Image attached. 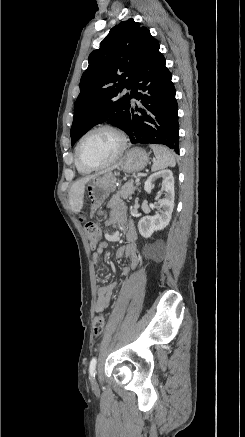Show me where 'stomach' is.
<instances>
[{
  "instance_id": "1",
  "label": "stomach",
  "mask_w": 245,
  "mask_h": 437,
  "mask_svg": "<svg viewBox=\"0 0 245 437\" xmlns=\"http://www.w3.org/2000/svg\"><path fill=\"white\" fill-rule=\"evenodd\" d=\"M148 162L149 156L146 151L134 147L127 151L120 169L128 173L139 172L147 166ZM116 183V173L112 171H107L102 176L96 175L88 182L85 189L91 202L92 212L98 209L115 190Z\"/></svg>"
}]
</instances>
